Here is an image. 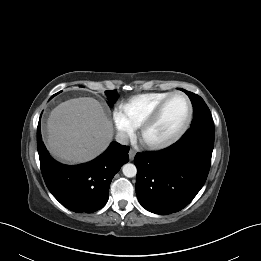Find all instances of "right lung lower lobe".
I'll list each match as a JSON object with an SVG mask.
<instances>
[{"mask_svg":"<svg viewBox=\"0 0 261 261\" xmlns=\"http://www.w3.org/2000/svg\"><path fill=\"white\" fill-rule=\"evenodd\" d=\"M37 149L49 191L64 207L77 213H92L103 208L108 201L112 178L129 161V147L112 142L103 154L88 163L75 166L61 164L49 155L44 146L40 121Z\"/></svg>","mask_w":261,"mask_h":261,"instance_id":"98d812e1","label":"right lung lower lobe"}]
</instances>
